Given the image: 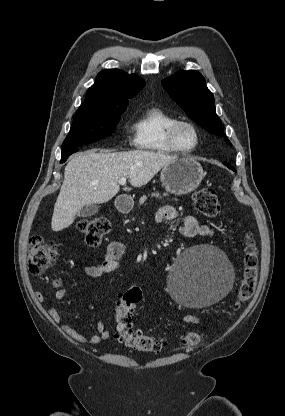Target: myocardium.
<instances>
[{
    "instance_id": "myocardium-1",
    "label": "myocardium",
    "mask_w": 285,
    "mask_h": 416,
    "mask_svg": "<svg viewBox=\"0 0 285 416\" xmlns=\"http://www.w3.org/2000/svg\"><path fill=\"white\" fill-rule=\"evenodd\" d=\"M184 125L190 127L194 132L196 143L192 148H183L180 146L178 142V138H177L178 129ZM168 141H169L170 146L173 148L175 152L179 154L187 155V154H193L194 152L198 150L200 143H201V136H200L198 127L193 122L188 121V120H176L169 127Z\"/></svg>"
}]
</instances>
